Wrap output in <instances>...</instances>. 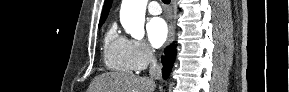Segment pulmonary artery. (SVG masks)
<instances>
[{
  "label": "pulmonary artery",
  "mask_w": 289,
  "mask_h": 92,
  "mask_svg": "<svg viewBox=\"0 0 289 92\" xmlns=\"http://www.w3.org/2000/svg\"><path fill=\"white\" fill-rule=\"evenodd\" d=\"M148 11L152 15H158L162 12L161 7L157 1H151L148 4Z\"/></svg>",
  "instance_id": "1"
}]
</instances>
